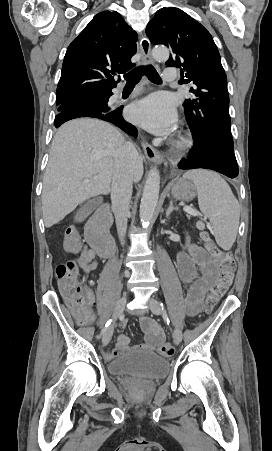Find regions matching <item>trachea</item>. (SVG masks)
<instances>
[{"instance_id":"1","label":"trachea","mask_w":272,"mask_h":451,"mask_svg":"<svg viewBox=\"0 0 272 451\" xmlns=\"http://www.w3.org/2000/svg\"><path fill=\"white\" fill-rule=\"evenodd\" d=\"M144 73L151 82L161 83V78L156 69L152 65H145L138 67L132 70V72L124 75V78L127 81L126 85H136V83L139 82Z\"/></svg>"}]
</instances>
